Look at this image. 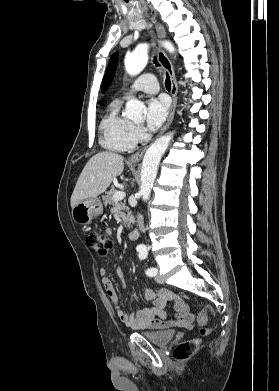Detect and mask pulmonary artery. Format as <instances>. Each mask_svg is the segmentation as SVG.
<instances>
[{
    "label": "pulmonary artery",
    "mask_w": 279,
    "mask_h": 391,
    "mask_svg": "<svg viewBox=\"0 0 279 391\" xmlns=\"http://www.w3.org/2000/svg\"><path fill=\"white\" fill-rule=\"evenodd\" d=\"M159 90L157 78L153 73H146L140 76L131 86L130 92L125 96L134 92L156 93Z\"/></svg>",
    "instance_id": "e3ab8cb5"
}]
</instances>
